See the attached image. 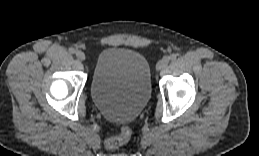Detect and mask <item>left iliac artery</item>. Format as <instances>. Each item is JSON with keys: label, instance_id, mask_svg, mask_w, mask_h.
Segmentation results:
<instances>
[{"label": "left iliac artery", "instance_id": "left-iliac-artery-1", "mask_svg": "<svg viewBox=\"0 0 259 156\" xmlns=\"http://www.w3.org/2000/svg\"><path fill=\"white\" fill-rule=\"evenodd\" d=\"M176 58H177L176 54H171L170 56H168V60H170V61H174V60H176Z\"/></svg>", "mask_w": 259, "mask_h": 156}]
</instances>
